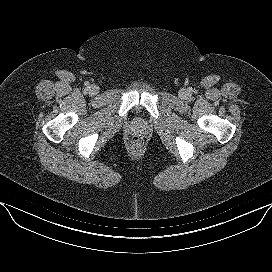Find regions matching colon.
I'll use <instances>...</instances> for the list:
<instances>
[{
	"label": "colon",
	"mask_w": 272,
	"mask_h": 272,
	"mask_svg": "<svg viewBox=\"0 0 272 272\" xmlns=\"http://www.w3.org/2000/svg\"><path fill=\"white\" fill-rule=\"evenodd\" d=\"M132 144L134 147H140L142 145V141L139 138H134Z\"/></svg>",
	"instance_id": "1"
}]
</instances>
